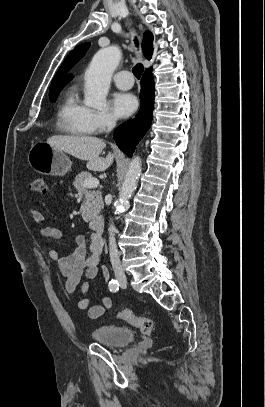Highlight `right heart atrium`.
<instances>
[{"label":"right heart atrium","instance_id":"1","mask_svg":"<svg viewBox=\"0 0 265 407\" xmlns=\"http://www.w3.org/2000/svg\"><path fill=\"white\" fill-rule=\"evenodd\" d=\"M88 122L94 133H101L114 127L116 117L108 110L89 109Z\"/></svg>","mask_w":265,"mask_h":407}]
</instances>
